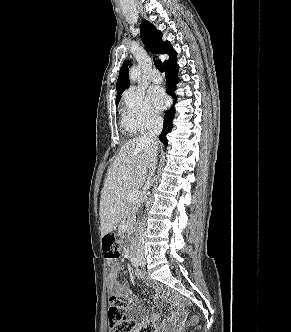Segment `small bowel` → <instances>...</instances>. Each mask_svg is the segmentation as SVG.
I'll return each instance as SVG.
<instances>
[{
	"instance_id": "c3829d8e",
	"label": "small bowel",
	"mask_w": 291,
	"mask_h": 332,
	"mask_svg": "<svg viewBox=\"0 0 291 332\" xmlns=\"http://www.w3.org/2000/svg\"><path fill=\"white\" fill-rule=\"evenodd\" d=\"M109 265L111 267L110 273H109V282L111 286H114L117 283L118 275L122 269L121 265L118 263H115L112 260H109ZM135 274L139 278H143V274L136 270ZM156 295H155V302L157 304H161L163 301V294L161 289L155 288ZM130 314H131V323H133L136 327H139L147 322H155L160 319V316L158 314H149L147 310L137 301L136 298H130ZM184 320V316L182 313L176 312L172 316V322L178 323L182 322Z\"/></svg>"
}]
</instances>
